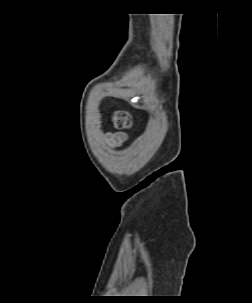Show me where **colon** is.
Segmentation results:
<instances>
[{
    "label": "colon",
    "mask_w": 252,
    "mask_h": 303,
    "mask_svg": "<svg viewBox=\"0 0 252 303\" xmlns=\"http://www.w3.org/2000/svg\"><path fill=\"white\" fill-rule=\"evenodd\" d=\"M112 123L117 128H130L132 126V120L131 117L126 113H116L112 118Z\"/></svg>",
    "instance_id": "1"
}]
</instances>
